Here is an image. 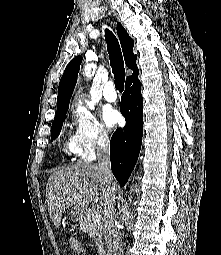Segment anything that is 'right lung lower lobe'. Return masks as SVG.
<instances>
[{
	"mask_svg": "<svg viewBox=\"0 0 221 255\" xmlns=\"http://www.w3.org/2000/svg\"><path fill=\"white\" fill-rule=\"evenodd\" d=\"M138 71L125 83L120 111L126 125L117 129L110 142L111 169L121 186H124L136 164L143 136V98Z\"/></svg>",
	"mask_w": 221,
	"mask_h": 255,
	"instance_id": "right-lung-lower-lobe-1",
	"label": "right lung lower lobe"
}]
</instances>
